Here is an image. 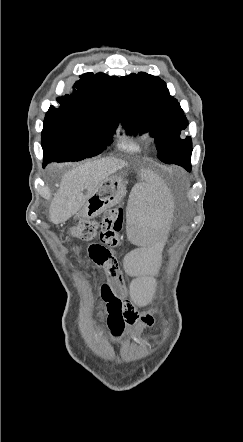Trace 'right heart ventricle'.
<instances>
[{
  "label": "right heart ventricle",
  "mask_w": 243,
  "mask_h": 442,
  "mask_svg": "<svg viewBox=\"0 0 243 442\" xmlns=\"http://www.w3.org/2000/svg\"><path fill=\"white\" fill-rule=\"evenodd\" d=\"M144 135L139 134L137 136L127 134L125 131L122 132L120 137L119 147L127 152L135 153L139 152L143 148Z\"/></svg>",
  "instance_id": "e07e8e85"
}]
</instances>
